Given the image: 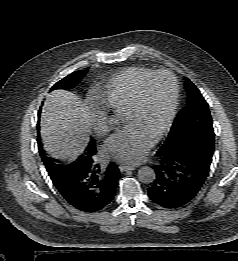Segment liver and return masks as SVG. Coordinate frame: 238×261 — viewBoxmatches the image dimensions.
Here are the masks:
<instances>
[{
  "mask_svg": "<svg viewBox=\"0 0 238 261\" xmlns=\"http://www.w3.org/2000/svg\"><path fill=\"white\" fill-rule=\"evenodd\" d=\"M40 126L45 150L55 158L72 160L87 146L91 116L79 96L56 90L46 97Z\"/></svg>",
  "mask_w": 238,
  "mask_h": 261,
  "instance_id": "1",
  "label": "liver"
}]
</instances>
